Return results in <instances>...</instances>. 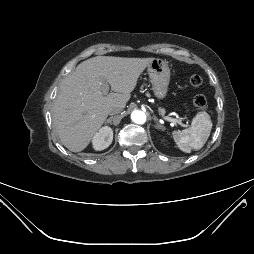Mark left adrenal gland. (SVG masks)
I'll use <instances>...</instances> for the list:
<instances>
[{"mask_svg":"<svg viewBox=\"0 0 254 254\" xmlns=\"http://www.w3.org/2000/svg\"><path fill=\"white\" fill-rule=\"evenodd\" d=\"M153 120L155 121V123L157 124L156 126H155V128L156 129H164V127L158 122V119H157V117L156 116H153Z\"/></svg>","mask_w":254,"mask_h":254,"instance_id":"1","label":"left adrenal gland"}]
</instances>
